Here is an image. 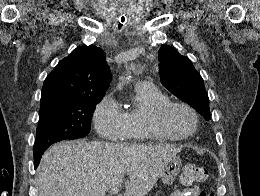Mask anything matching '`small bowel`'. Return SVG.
Instances as JSON below:
<instances>
[{"label":"small bowel","mask_w":260,"mask_h":196,"mask_svg":"<svg viewBox=\"0 0 260 196\" xmlns=\"http://www.w3.org/2000/svg\"><path fill=\"white\" fill-rule=\"evenodd\" d=\"M171 196H206L198 185L189 186L184 190H175Z\"/></svg>","instance_id":"1"}]
</instances>
